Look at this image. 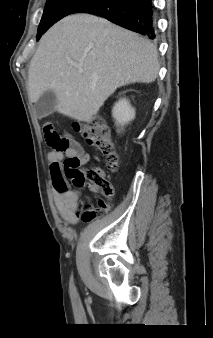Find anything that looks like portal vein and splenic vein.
<instances>
[{
  "label": "portal vein and splenic vein",
  "mask_w": 213,
  "mask_h": 338,
  "mask_svg": "<svg viewBox=\"0 0 213 338\" xmlns=\"http://www.w3.org/2000/svg\"><path fill=\"white\" fill-rule=\"evenodd\" d=\"M78 71H79V72H82L83 70L79 67V68H78Z\"/></svg>",
  "instance_id": "obj_1"
}]
</instances>
